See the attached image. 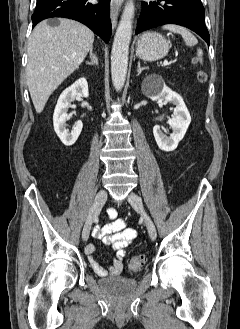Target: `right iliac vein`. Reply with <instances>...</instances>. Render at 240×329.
<instances>
[{"label":"right iliac vein","instance_id":"obj_1","mask_svg":"<svg viewBox=\"0 0 240 329\" xmlns=\"http://www.w3.org/2000/svg\"><path fill=\"white\" fill-rule=\"evenodd\" d=\"M106 200H107V192L104 189H102L97 193L94 203L89 212V215L85 221V224H84V227L82 230V238L84 241L88 240L92 223H93L94 219L97 217V215L99 214V212L102 209L103 205L105 204Z\"/></svg>","mask_w":240,"mask_h":329}]
</instances>
